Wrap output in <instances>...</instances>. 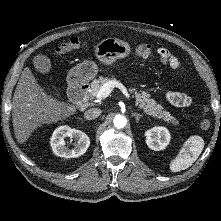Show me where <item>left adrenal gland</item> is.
<instances>
[{
	"label": "left adrenal gland",
	"mask_w": 221,
	"mask_h": 221,
	"mask_svg": "<svg viewBox=\"0 0 221 221\" xmlns=\"http://www.w3.org/2000/svg\"><path fill=\"white\" fill-rule=\"evenodd\" d=\"M131 114H132V116L135 117V119H136V123H138L139 120H140V118L142 117V115L139 114V113H136V112H132Z\"/></svg>",
	"instance_id": "a2214340"
}]
</instances>
